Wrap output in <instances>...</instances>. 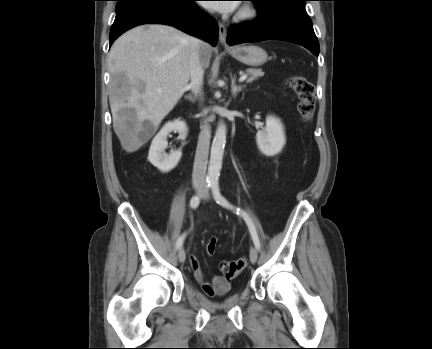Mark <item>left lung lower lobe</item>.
Wrapping results in <instances>:
<instances>
[{
	"label": "left lung lower lobe",
	"mask_w": 432,
	"mask_h": 349,
	"mask_svg": "<svg viewBox=\"0 0 432 349\" xmlns=\"http://www.w3.org/2000/svg\"><path fill=\"white\" fill-rule=\"evenodd\" d=\"M256 5L259 8L256 21L230 27L227 36L230 45L285 40L302 45L318 56L319 43L303 6L281 0H270Z\"/></svg>",
	"instance_id": "left-lung-lower-lobe-1"
}]
</instances>
